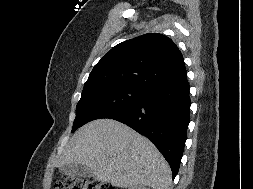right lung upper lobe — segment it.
Segmentation results:
<instances>
[{
	"label": "right lung upper lobe",
	"mask_w": 253,
	"mask_h": 189,
	"mask_svg": "<svg viewBox=\"0 0 253 189\" xmlns=\"http://www.w3.org/2000/svg\"><path fill=\"white\" fill-rule=\"evenodd\" d=\"M186 78L183 56L176 44L165 35L149 33L113 47L94 66L82 93L107 86L147 91Z\"/></svg>",
	"instance_id": "1"
}]
</instances>
